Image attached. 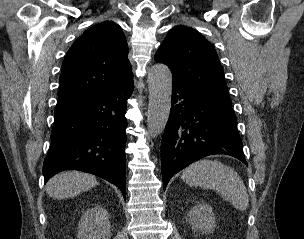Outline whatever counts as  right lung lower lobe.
I'll use <instances>...</instances> for the list:
<instances>
[{"mask_svg": "<svg viewBox=\"0 0 304 239\" xmlns=\"http://www.w3.org/2000/svg\"><path fill=\"white\" fill-rule=\"evenodd\" d=\"M133 77L72 108L54 113L52 141L44 160L47 182L64 170L92 173L118 186L126 199L127 99Z\"/></svg>", "mask_w": 304, "mask_h": 239, "instance_id": "right-lung-lower-lobe-1", "label": "right lung lower lobe"}]
</instances>
